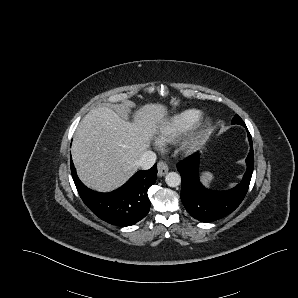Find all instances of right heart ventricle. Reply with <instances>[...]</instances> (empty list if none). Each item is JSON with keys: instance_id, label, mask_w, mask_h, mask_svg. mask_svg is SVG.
Returning <instances> with one entry per match:
<instances>
[{"instance_id": "right-heart-ventricle-1", "label": "right heart ventricle", "mask_w": 298, "mask_h": 298, "mask_svg": "<svg viewBox=\"0 0 298 298\" xmlns=\"http://www.w3.org/2000/svg\"><path fill=\"white\" fill-rule=\"evenodd\" d=\"M202 114L199 109H183L171 115L168 119L159 122L158 128L162 131L165 141L169 142L177 135L189 130Z\"/></svg>"}]
</instances>
